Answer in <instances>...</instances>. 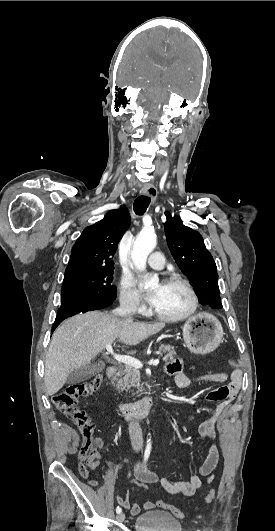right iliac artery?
I'll list each match as a JSON object with an SVG mask.
<instances>
[{"label": "right iliac artery", "instance_id": "right-iliac-artery-1", "mask_svg": "<svg viewBox=\"0 0 275 531\" xmlns=\"http://www.w3.org/2000/svg\"><path fill=\"white\" fill-rule=\"evenodd\" d=\"M150 450H151V442L150 440L147 441V446H146V449H145V453H144V461L148 460V457L150 455ZM121 508L118 506L116 508V512L119 514L121 513Z\"/></svg>", "mask_w": 275, "mask_h": 531}]
</instances>
